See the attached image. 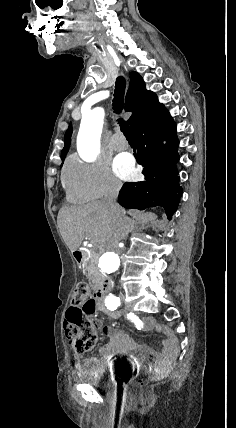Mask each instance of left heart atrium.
Segmentation results:
<instances>
[{"label": "left heart atrium", "instance_id": "39dd6f15", "mask_svg": "<svg viewBox=\"0 0 236 428\" xmlns=\"http://www.w3.org/2000/svg\"><path fill=\"white\" fill-rule=\"evenodd\" d=\"M113 171L122 179H131L135 171L133 159L129 155L118 157L113 163Z\"/></svg>", "mask_w": 236, "mask_h": 428}]
</instances>
